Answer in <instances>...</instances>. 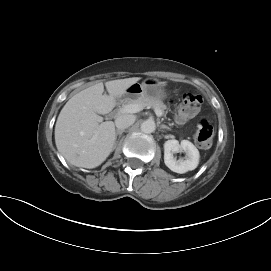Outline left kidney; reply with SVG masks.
<instances>
[{
    "mask_svg": "<svg viewBox=\"0 0 271 271\" xmlns=\"http://www.w3.org/2000/svg\"><path fill=\"white\" fill-rule=\"evenodd\" d=\"M185 152V159L176 160L174 153ZM199 151L188 140H168L164 143V162L165 165L176 173H185L194 170L199 163Z\"/></svg>",
    "mask_w": 271,
    "mask_h": 271,
    "instance_id": "5707ae66",
    "label": "left kidney"
}]
</instances>
